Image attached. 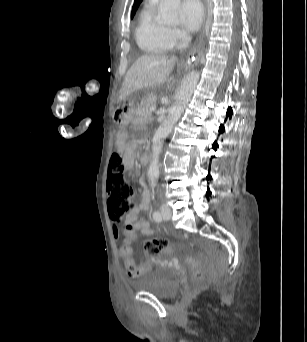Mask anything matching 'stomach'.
I'll use <instances>...</instances> for the list:
<instances>
[{"mask_svg":"<svg viewBox=\"0 0 307 342\" xmlns=\"http://www.w3.org/2000/svg\"><path fill=\"white\" fill-rule=\"evenodd\" d=\"M135 111L134 103H125L115 110L114 121L120 126H126L133 119Z\"/></svg>","mask_w":307,"mask_h":342,"instance_id":"1","label":"stomach"}]
</instances>
